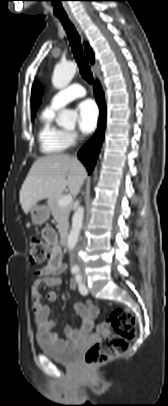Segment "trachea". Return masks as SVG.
<instances>
[{
    "label": "trachea",
    "instance_id": "obj_1",
    "mask_svg": "<svg viewBox=\"0 0 168 406\" xmlns=\"http://www.w3.org/2000/svg\"><path fill=\"white\" fill-rule=\"evenodd\" d=\"M58 19L62 23V25L67 33V36H68V39L70 42V46L72 48V52L74 54L76 62L78 63V67L80 69V73H81L82 77L89 84H92V82H93L92 72H91L88 62L84 56L81 42H80V37H79L78 32L76 31V28L74 27V25L68 18L58 17Z\"/></svg>",
    "mask_w": 168,
    "mask_h": 406
}]
</instances>
